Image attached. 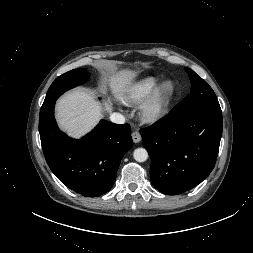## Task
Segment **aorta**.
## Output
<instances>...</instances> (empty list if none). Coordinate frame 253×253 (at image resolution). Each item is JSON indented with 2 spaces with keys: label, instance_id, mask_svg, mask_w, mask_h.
Masks as SVG:
<instances>
[{
  "label": "aorta",
  "instance_id": "1",
  "mask_svg": "<svg viewBox=\"0 0 253 253\" xmlns=\"http://www.w3.org/2000/svg\"><path fill=\"white\" fill-rule=\"evenodd\" d=\"M133 157L137 162H145L148 159V152L145 148H137L133 152Z\"/></svg>",
  "mask_w": 253,
  "mask_h": 253
}]
</instances>
